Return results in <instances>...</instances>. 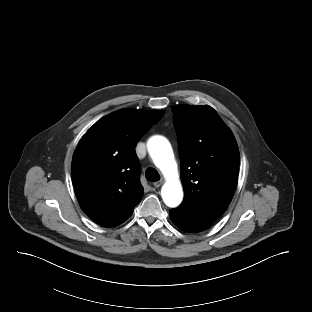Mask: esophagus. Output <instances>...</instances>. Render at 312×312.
<instances>
[{
    "label": "esophagus",
    "mask_w": 312,
    "mask_h": 312,
    "mask_svg": "<svg viewBox=\"0 0 312 312\" xmlns=\"http://www.w3.org/2000/svg\"><path fill=\"white\" fill-rule=\"evenodd\" d=\"M162 184H163V180L156 181V182L153 183V185H154L156 188L160 187Z\"/></svg>",
    "instance_id": "obj_1"
}]
</instances>
